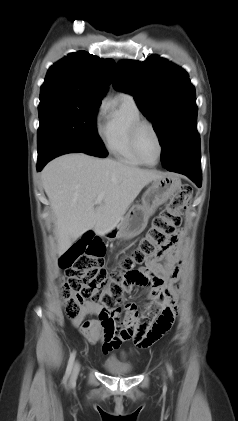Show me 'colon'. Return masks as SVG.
I'll return each instance as SVG.
<instances>
[{
    "mask_svg": "<svg viewBox=\"0 0 238 421\" xmlns=\"http://www.w3.org/2000/svg\"><path fill=\"white\" fill-rule=\"evenodd\" d=\"M192 196V189L183 185L173 195L169 204L156 216L138 247L120 262V269L104 267L105 248L101 240L86 235L60 257V266L65 271V282L61 295L65 314L77 318L85 302H93L102 308L99 319L112 325L118 305L123 303V294L132 289L130 273L137 265L156 258L167 249L183 222V211ZM164 327L149 333L143 344L159 339L169 330Z\"/></svg>",
    "mask_w": 238,
    "mask_h": 421,
    "instance_id": "colon-1",
    "label": "colon"
}]
</instances>
